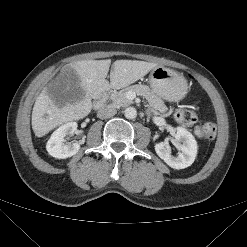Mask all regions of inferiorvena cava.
<instances>
[{"label": "inferior vena cava", "instance_id": "602c4592", "mask_svg": "<svg viewBox=\"0 0 247 247\" xmlns=\"http://www.w3.org/2000/svg\"><path fill=\"white\" fill-rule=\"evenodd\" d=\"M116 112L117 111L115 108L107 106V107H103L99 109L97 112V116L100 119H106V118L113 117L116 114Z\"/></svg>", "mask_w": 247, "mask_h": 247}]
</instances>
